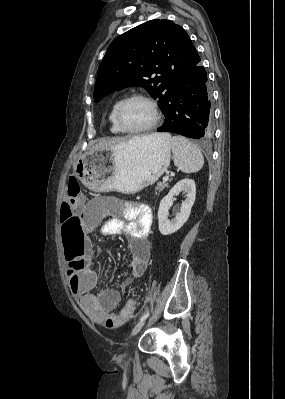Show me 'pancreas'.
Here are the masks:
<instances>
[{"instance_id": "1", "label": "pancreas", "mask_w": 285, "mask_h": 399, "mask_svg": "<svg viewBox=\"0 0 285 399\" xmlns=\"http://www.w3.org/2000/svg\"><path fill=\"white\" fill-rule=\"evenodd\" d=\"M168 183H159L156 188H155V193L157 194V192H162L166 187H167Z\"/></svg>"}]
</instances>
